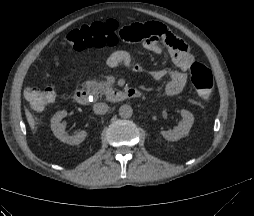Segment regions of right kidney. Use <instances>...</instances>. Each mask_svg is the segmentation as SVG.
Segmentation results:
<instances>
[{
  "mask_svg": "<svg viewBox=\"0 0 254 216\" xmlns=\"http://www.w3.org/2000/svg\"><path fill=\"white\" fill-rule=\"evenodd\" d=\"M66 116V111H58L51 118V129L53 134L61 142L67 143L69 145H78L85 140L87 132L85 130H81L74 136L67 135L65 132V124L61 123V120Z\"/></svg>",
  "mask_w": 254,
  "mask_h": 216,
  "instance_id": "obj_1",
  "label": "right kidney"
}]
</instances>
